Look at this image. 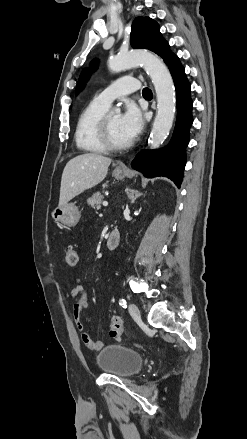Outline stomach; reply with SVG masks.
Wrapping results in <instances>:
<instances>
[{"label": "stomach", "mask_w": 247, "mask_h": 439, "mask_svg": "<svg viewBox=\"0 0 247 439\" xmlns=\"http://www.w3.org/2000/svg\"><path fill=\"white\" fill-rule=\"evenodd\" d=\"M127 174L126 170L115 169L113 176L116 179H123ZM52 217L67 226H75L80 219V212L78 207L73 203H67L63 206H58L53 212Z\"/></svg>", "instance_id": "stomach-1"}]
</instances>
